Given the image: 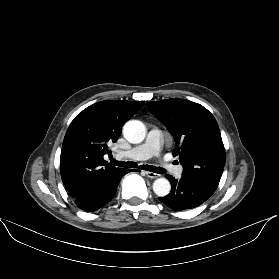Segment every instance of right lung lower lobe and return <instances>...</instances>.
Masks as SVG:
<instances>
[{
  "label": "right lung lower lobe",
  "mask_w": 279,
  "mask_h": 279,
  "mask_svg": "<svg viewBox=\"0 0 279 279\" xmlns=\"http://www.w3.org/2000/svg\"><path fill=\"white\" fill-rule=\"evenodd\" d=\"M131 171L130 169H125L121 174L107 181L96 190L75 198L77 206L88 212L98 210L113 199L121 178Z\"/></svg>",
  "instance_id": "1"
}]
</instances>
